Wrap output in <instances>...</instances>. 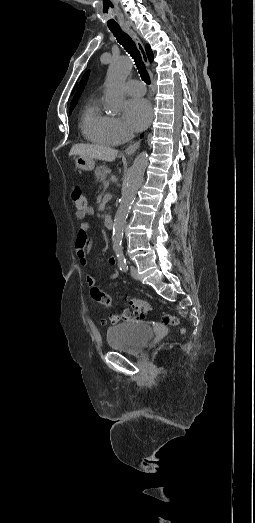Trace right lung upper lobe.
Segmentation results:
<instances>
[{
    "label": "right lung upper lobe",
    "instance_id": "right-lung-upper-lobe-1",
    "mask_svg": "<svg viewBox=\"0 0 255 523\" xmlns=\"http://www.w3.org/2000/svg\"><path fill=\"white\" fill-rule=\"evenodd\" d=\"M145 49H146V52H147V55H148L149 60L152 61V60H153V53H152V51H151L150 46L147 45V46L145 47Z\"/></svg>",
    "mask_w": 255,
    "mask_h": 523
}]
</instances>
